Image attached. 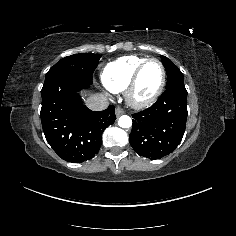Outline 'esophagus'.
<instances>
[{
    "label": "esophagus",
    "instance_id": "34e87169",
    "mask_svg": "<svg viewBox=\"0 0 236 236\" xmlns=\"http://www.w3.org/2000/svg\"><path fill=\"white\" fill-rule=\"evenodd\" d=\"M115 113H116V116L119 117L120 115L124 114V111L121 108H117Z\"/></svg>",
    "mask_w": 236,
    "mask_h": 236
}]
</instances>
